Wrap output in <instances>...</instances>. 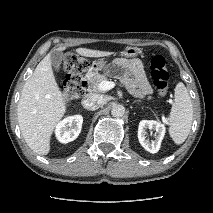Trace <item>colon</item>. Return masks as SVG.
Instances as JSON below:
<instances>
[{
	"label": "colon",
	"instance_id": "colon-1",
	"mask_svg": "<svg viewBox=\"0 0 213 213\" xmlns=\"http://www.w3.org/2000/svg\"><path fill=\"white\" fill-rule=\"evenodd\" d=\"M88 67L89 62L79 55L70 54L65 57L66 78L61 86L65 101H76L84 94L83 80ZM150 72L157 91L161 96H166L169 89V70L164 57L155 55L151 58Z\"/></svg>",
	"mask_w": 213,
	"mask_h": 213
}]
</instances>
